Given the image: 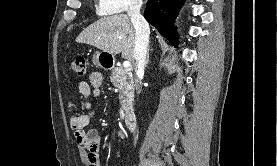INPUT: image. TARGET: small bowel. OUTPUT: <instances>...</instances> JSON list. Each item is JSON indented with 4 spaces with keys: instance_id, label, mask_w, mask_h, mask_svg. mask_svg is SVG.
I'll list each match as a JSON object with an SVG mask.
<instances>
[{
    "instance_id": "1",
    "label": "small bowel",
    "mask_w": 277,
    "mask_h": 166,
    "mask_svg": "<svg viewBox=\"0 0 277 166\" xmlns=\"http://www.w3.org/2000/svg\"><path fill=\"white\" fill-rule=\"evenodd\" d=\"M102 81L103 77L99 72H92L87 80L78 83L84 113L73 115L70 119V127L74 132L83 166H101L102 138L98 130L88 127L96 112L95 106L90 102V97H99Z\"/></svg>"
}]
</instances>
